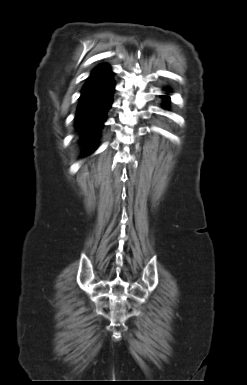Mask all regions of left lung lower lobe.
Wrapping results in <instances>:
<instances>
[{
  "instance_id": "0a47b994",
  "label": "left lung lower lobe",
  "mask_w": 247,
  "mask_h": 385,
  "mask_svg": "<svg viewBox=\"0 0 247 385\" xmlns=\"http://www.w3.org/2000/svg\"><path fill=\"white\" fill-rule=\"evenodd\" d=\"M164 98H165L164 103L167 105V104H168V99H169V97H168V96H164Z\"/></svg>"
}]
</instances>
